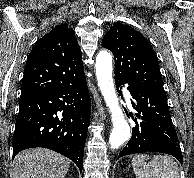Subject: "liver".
I'll return each instance as SVG.
<instances>
[{
  "mask_svg": "<svg viewBox=\"0 0 194 178\" xmlns=\"http://www.w3.org/2000/svg\"><path fill=\"white\" fill-rule=\"evenodd\" d=\"M70 161L66 157L44 148L20 152L12 164V178H64Z\"/></svg>",
  "mask_w": 194,
  "mask_h": 178,
  "instance_id": "liver-1",
  "label": "liver"
}]
</instances>
